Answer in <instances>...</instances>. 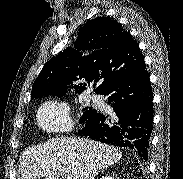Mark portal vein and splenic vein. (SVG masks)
Masks as SVG:
<instances>
[{
  "label": "portal vein and splenic vein",
  "mask_w": 183,
  "mask_h": 179,
  "mask_svg": "<svg viewBox=\"0 0 183 179\" xmlns=\"http://www.w3.org/2000/svg\"><path fill=\"white\" fill-rule=\"evenodd\" d=\"M66 179H72L70 176H67Z\"/></svg>",
  "instance_id": "portal-vein-and-splenic-vein-1"
}]
</instances>
